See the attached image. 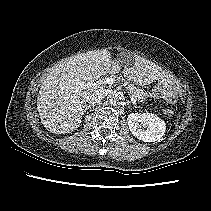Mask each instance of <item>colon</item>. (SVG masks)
Returning <instances> with one entry per match:
<instances>
[{
    "mask_svg": "<svg viewBox=\"0 0 211 211\" xmlns=\"http://www.w3.org/2000/svg\"><path fill=\"white\" fill-rule=\"evenodd\" d=\"M177 98L176 97H168V98H165L164 99V103L166 104V107H165V113L167 114H172L173 111L170 107V105L174 104L176 102Z\"/></svg>",
    "mask_w": 211,
    "mask_h": 211,
    "instance_id": "colon-1",
    "label": "colon"
}]
</instances>
